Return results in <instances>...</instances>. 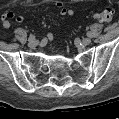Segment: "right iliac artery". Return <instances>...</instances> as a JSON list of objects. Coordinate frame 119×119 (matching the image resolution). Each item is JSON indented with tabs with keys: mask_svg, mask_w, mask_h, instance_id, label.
<instances>
[{
	"mask_svg": "<svg viewBox=\"0 0 119 119\" xmlns=\"http://www.w3.org/2000/svg\"><path fill=\"white\" fill-rule=\"evenodd\" d=\"M28 40H29V41L35 40V36L31 34V35L29 36Z\"/></svg>",
	"mask_w": 119,
	"mask_h": 119,
	"instance_id": "obj_1",
	"label": "right iliac artery"
}]
</instances>
